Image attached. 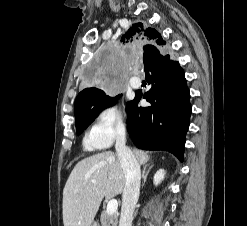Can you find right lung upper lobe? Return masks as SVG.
Listing matches in <instances>:
<instances>
[{"mask_svg": "<svg viewBox=\"0 0 247 226\" xmlns=\"http://www.w3.org/2000/svg\"><path fill=\"white\" fill-rule=\"evenodd\" d=\"M121 41L128 44L134 43L143 45V59L152 48L165 46L166 44L165 40L156 29L148 27L145 23L141 22L133 23L125 34L122 35ZM100 93H102L101 90L93 87L82 90L75 101V118L82 114L84 104Z\"/></svg>", "mask_w": 247, "mask_h": 226, "instance_id": "right-lung-upper-lobe-1", "label": "right lung upper lobe"}]
</instances>
